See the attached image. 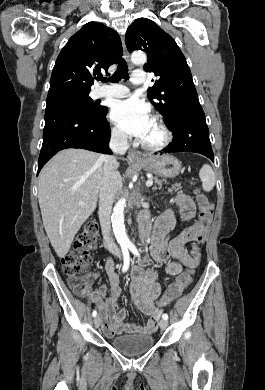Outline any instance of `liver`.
I'll return each instance as SVG.
<instances>
[{"label":"liver","mask_w":265,"mask_h":390,"mask_svg":"<svg viewBox=\"0 0 265 390\" xmlns=\"http://www.w3.org/2000/svg\"><path fill=\"white\" fill-rule=\"evenodd\" d=\"M101 157L88 150L66 149L40 172L38 200L43 225L60 258L69 252L75 235L96 209L103 179ZM118 167L117 162L116 171Z\"/></svg>","instance_id":"1"}]
</instances>
